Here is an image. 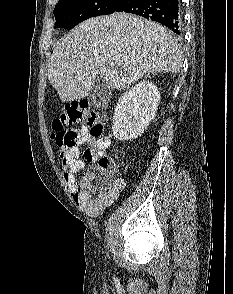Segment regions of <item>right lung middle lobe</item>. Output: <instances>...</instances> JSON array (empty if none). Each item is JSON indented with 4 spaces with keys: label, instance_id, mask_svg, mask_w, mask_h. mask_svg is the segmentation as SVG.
I'll list each match as a JSON object with an SVG mask.
<instances>
[{
    "label": "right lung middle lobe",
    "instance_id": "right-lung-middle-lobe-1",
    "mask_svg": "<svg viewBox=\"0 0 233 294\" xmlns=\"http://www.w3.org/2000/svg\"><path fill=\"white\" fill-rule=\"evenodd\" d=\"M123 0H59L53 11L54 28L72 29L80 22L100 15L112 14Z\"/></svg>",
    "mask_w": 233,
    "mask_h": 294
}]
</instances>
